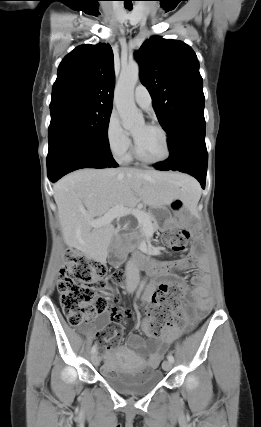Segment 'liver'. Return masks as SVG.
I'll return each instance as SVG.
<instances>
[{
	"instance_id": "obj_1",
	"label": "liver",
	"mask_w": 261,
	"mask_h": 427,
	"mask_svg": "<svg viewBox=\"0 0 261 427\" xmlns=\"http://www.w3.org/2000/svg\"><path fill=\"white\" fill-rule=\"evenodd\" d=\"M194 183L185 174L153 170L85 168L72 172L53 186L64 242L91 259L105 262L114 227H92L91 220L117 205L133 208L142 202L162 208L175 198L189 205L187 189Z\"/></svg>"
}]
</instances>
